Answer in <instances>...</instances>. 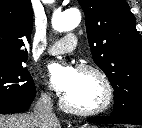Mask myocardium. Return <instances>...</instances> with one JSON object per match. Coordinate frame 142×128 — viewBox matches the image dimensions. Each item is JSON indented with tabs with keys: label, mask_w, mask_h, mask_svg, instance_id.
I'll use <instances>...</instances> for the list:
<instances>
[{
	"label": "myocardium",
	"mask_w": 142,
	"mask_h": 128,
	"mask_svg": "<svg viewBox=\"0 0 142 128\" xmlns=\"http://www.w3.org/2000/svg\"><path fill=\"white\" fill-rule=\"evenodd\" d=\"M78 71L93 74L99 79L104 90L103 100L96 107L81 108V107L74 106L67 100L66 97H63L61 100L62 107L69 112L83 115V116L98 115L108 110L111 107L114 100V89L106 73L100 68H98L97 66L90 65V64H80L78 66Z\"/></svg>",
	"instance_id": "obj_1"
}]
</instances>
